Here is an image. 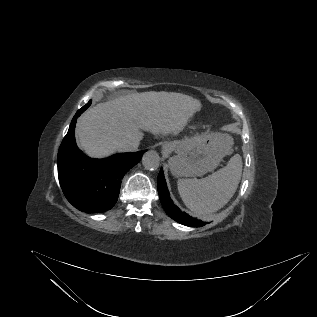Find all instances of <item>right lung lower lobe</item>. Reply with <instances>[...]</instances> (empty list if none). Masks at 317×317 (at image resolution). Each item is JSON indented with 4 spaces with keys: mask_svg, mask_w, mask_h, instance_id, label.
I'll return each instance as SVG.
<instances>
[{
    "mask_svg": "<svg viewBox=\"0 0 317 317\" xmlns=\"http://www.w3.org/2000/svg\"><path fill=\"white\" fill-rule=\"evenodd\" d=\"M78 110L58 152V177L68 201L78 210L104 212L117 202L121 179L136 165L145 151L119 153L106 159H91L84 155L75 142L74 130Z\"/></svg>",
    "mask_w": 317,
    "mask_h": 317,
    "instance_id": "right-lung-lower-lobe-1",
    "label": "right lung lower lobe"
}]
</instances>
